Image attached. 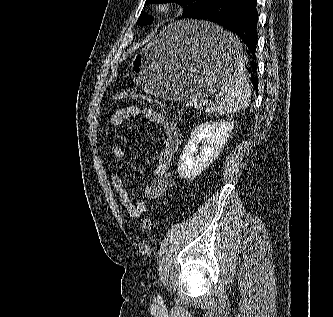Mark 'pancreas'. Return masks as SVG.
Masks as SVG:
<instances>
[{"instance_id": "obj_1", "label": "pancreas", "mask_w": 333, "mask_h": 317, "mask_svg": "<svg viewBox=\"0 0 333 317\" xmlns=\"http://www.w3.org/2000/svg\"><path fill=\"white\" fill-rule=\"evenodd\" d=\"M197 107L200 109V110H205V109H210V104H203V103H198L197 104Z\"/></svg>"}]
</instances>
